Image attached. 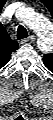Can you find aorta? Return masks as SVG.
I'll list each match as a JSON object with an SVG mask.
<instances>
[{
    "label": "aorta",
    "instance_id": "1",
    "mask_svg": "<svg viewBox=\"0 0 53 120\" xmlns=\"http://www.w3.org/2000/svg\"><path fill=\"white\" fill-rule=\"evenodd\" d=\"M26 23L33 29L38 35V46L41 50L49 49L52 43V25L51 22L36 13L27 15L25 17Z\"/></svg>",
    "mask_w": 53,
    "mask_h": 120
}]
</instances>
